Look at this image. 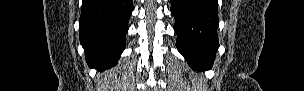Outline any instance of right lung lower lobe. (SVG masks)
Wrapping results in <instances>:
<instances>
[{"label":"right lung lower lobe","instance_id":"98d812e1","mask_svg":"<svg viewBox=\"0 0 304 91\" xmlns=\"http://www.w3.org/2000/svg\"><path fill=\"white\" fill-rule=\"evenodd\" d=\"M131 13L132 0H83L79 38L91 67L105 70L116 64Z\"/></svg>","mask_w":304,"mask_h":91}]
</instances>
